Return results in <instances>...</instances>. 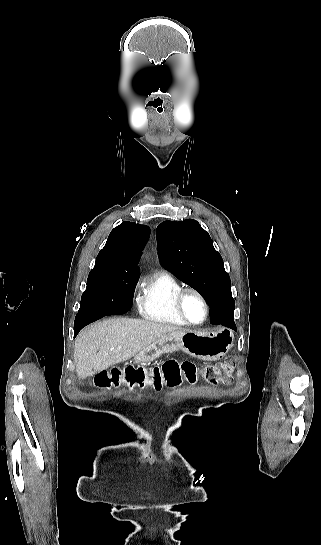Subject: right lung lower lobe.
Here are the masks:
<instances>
[{
    "label": "right lung lower lobe",
    "instance_id": "obj_1",
    "mask_svg": "<svg viewBox=\"0 0 321 545\" xmlns=\"http://www.w3.org/2000/svg\"><path fill=\"white\" fill-rule=\"evenodd\" d=\"M133 294L132 295H121L113 299L108 307L106 308L105 316L107 315H116L123 314L129 311L132 307ZM98 320V319H97ZM96 320L90 319L85 321H78L74 323V335H77L78 332L87 324L94 322Z\"/></svg>",
    "mask_w": 321,
    "mask_h": 545
}]
</instances>
